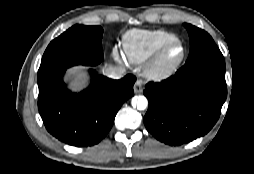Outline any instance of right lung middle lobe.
<instances>
[{
  "instance_id": "obj_1",
  "label": "right lung middle lobe",
  "mask_w": 254,
  "mask_h": 174,
  "mask_svg": "<svg viewBox=\"0 0 254 174\" xmlns=\"http://www.w3.org/2000/svg\"><path fill=\"white\" fill-rule=\"evenodd\" d=\"M100 26L74 25L50 42L41 60L38 80L64 66L97 65L103 60Z\"/></svg>"
}]
</instances>
